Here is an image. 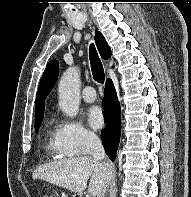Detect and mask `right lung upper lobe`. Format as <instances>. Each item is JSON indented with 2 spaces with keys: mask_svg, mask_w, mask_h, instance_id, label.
<instances>
[{
  "mask_svg": "<svg viewBox=\"0 0 191 197\" xmlns=\"http://www.w3.org/2000/svg\"><path fill=\"white\" fill-rule=\"evenodd\" d=\"M94 39L101 57L103 59L110 58L111 48L107 44L101 32L96 30ZM58 67H59L58 61L51 60L47 64L43 76L40 80V84L38 86V92L36 95V101H35V114H36L35 124L42 121L44 114V101L46 96L50 93L54 83L57 80Z\"/></svg>",
  "mask_w": 191,
  "mask_h": 197,
  "instance_id": "obj_1",
  "label": "right lung upper lobe"
}]
</instances>
